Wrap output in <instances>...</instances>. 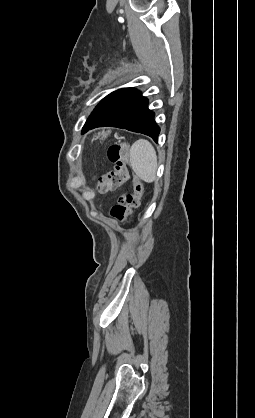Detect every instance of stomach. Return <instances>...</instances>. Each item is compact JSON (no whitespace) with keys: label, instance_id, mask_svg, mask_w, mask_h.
<instances>
[{"label":"stomach","instance_id":"0dacf381","mask_svg":"<svg viewBox=\"0 0 255 418\" xmlns=\"http://www.w3.org/2000/svg\"><path fill=\"white\" fill-rule=\"evenodd\" d=\"M107 135H108V133L103 132V133H101L99 136H101L102 138H105Z\"/></svg>","mask_w":255,"mask_h":418}]
</instances>
